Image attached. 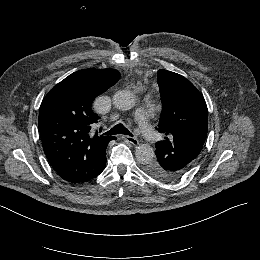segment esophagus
Wrapping results in <instances>:
<instances>
[{
	"label": "esophagus",
	"mask_w": 260,
	"mask_h": 260,
	"mask_svg": "<svg viewBox=\"0 0 260 260\" xmlns=\"http://www.w3.org/2000/svg\"><path fill=\"white\" fill-rule=\"evenodd\" d=\"M123 138L126 142H128L132 145H135V146L139 145V140L136 137L124 135Z\"/></svg>",
	"instance_id": "1"
}]
</instances>
